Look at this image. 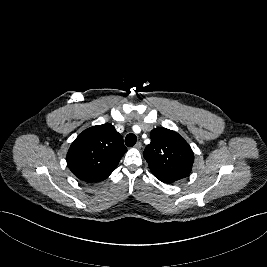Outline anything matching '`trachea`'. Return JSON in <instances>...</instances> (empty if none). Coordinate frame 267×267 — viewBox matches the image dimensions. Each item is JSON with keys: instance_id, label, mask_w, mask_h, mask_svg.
Returning <instances> with one entry per match:
<instances>
[{"instance_id": "1", "label": "trachea", "mask_w": 267, "mask_h": 267, "mask_svg": "<svg viewBox=\"0 0 267 267\" xmlns=\"http://www.w3.org/2000/svg\"><path fill=\"white\" fill-rule=\"evenodd\" d=\"M137 141V137L135 134L130 133L125 137V144L128 147H133Z\"/></svg>"}]
</instances>
